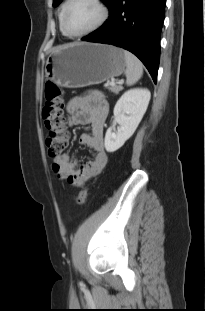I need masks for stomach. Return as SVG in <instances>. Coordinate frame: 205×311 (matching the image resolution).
<instances>
[{
  "instance_id": "0dacf381",
  "label": "stomach",
  "mask_w": 205,
  "mask_h": 311,
  "mask_svg": "<svg viewBox=\"0 0 205 311\" xmlns=\"http://www.w3.org/2000/svg\"><path fill=\"white\" fill-rule=\"evenodd\" d=\"M126 67L124 50L112 45L72 43L52 50L45 74L56 85L80 88L121 75Z\"/></svg>"
}]
</instances>
